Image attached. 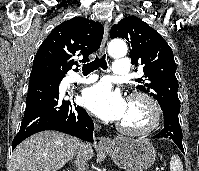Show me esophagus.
Here are the masks:
<instances>
[{
	"mask_svg": "<svg viewBox=\"0 0 199 171\" xmlns=\"http://www.w3.org/2000/svg\"><path fill=\"white\" fill-rule=\"evenodd\" d=\"M108 33H109V24L108 22H105L104 24V36H103V40L101 43V47H100V52L103 53L105 48H106V44H107V40H108ZM95 130L96 132L100 131V126L95 124ZM94 144L95 146L99 147V148H105L108 147L112 144L111 139L106 138L104 136L101 135H97L94 139Z\"/></svg>",
	"mask_w": 199,
	"mask_h": 171,
	"instance_id": "esophagus-1",
	"label": "esophagus"
}]
</instances>
